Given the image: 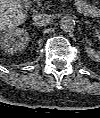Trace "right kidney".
<instances>
[{"instance_id":"obj_1","label":"right kidney","mask_w":100,"mask_h":118,"mask_svg":"<svg viewBox=\"0 0 100 118\" xmlns=\"http://www.w3.org/2000/svg\"><path fill=\"white\" fill-rule=\"evenodd\" d=\"M29 43L28 32L20 28H10L1 33L0 49L6 54L17 53L27 47Z\"/></svg>"}]
</instances>
